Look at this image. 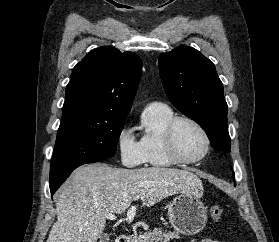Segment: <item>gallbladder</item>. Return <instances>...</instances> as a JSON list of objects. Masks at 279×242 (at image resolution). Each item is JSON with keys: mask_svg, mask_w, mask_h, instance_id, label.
I'll list each match as a JSON object with an SVG mask.
<instances>
[{"mask_svg": "<svg viewBox=\"0 0 279 242\" xmlns=\"http://www.w3.org/2000/svg\"><path fill=\"white\" fill-rule=\"evenodd\" d=\"M109 240V234L104 233L100 236V242H108Z\"/></svg>", "mask_w": 279, "mask_h": 242, "instance_id": "obj_1", "label": "gallbladder"}]
</instances>
